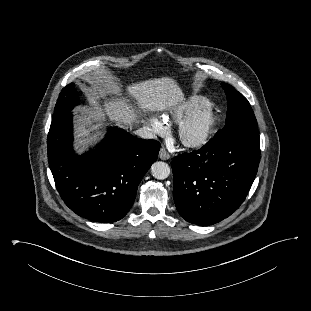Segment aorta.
Wrapping results in <instances>:
<instances>
[{
  "label": "aorta",
  "mask_w": 311,
  "mask_h": 311,
  "mask_svg": "<svg viewBox=\"0 0 311 311\" xmlns=\"http://www.w3.org/2000/svg\"><path fill=\"white\" fill-rule=\"evenodd\" d=\"M151 173L154 178L163 180L170 175V167L165 162L157 161L151 166Z\"/></svg>",
  "instance_id": "1"
}]
</instances>
